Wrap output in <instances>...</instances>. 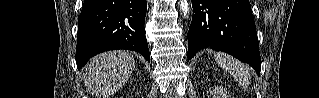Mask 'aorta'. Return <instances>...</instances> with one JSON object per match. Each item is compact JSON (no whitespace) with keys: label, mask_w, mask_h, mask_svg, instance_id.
<instances>
[{"label":"aorta","mask_w":319,"mask_h":98,"mask_svg":"<svg viewBox=\"0 0 319 98\" xmlns=\"http://www.w3.org/2000/svg\"><path fill=\"white\" fill-rule=\"evenodd\" d=\"M179 6L184 16H187L190 12L188 0H179Z\"/></svg>","instance_id":"aorta-1"}]
</instances>
